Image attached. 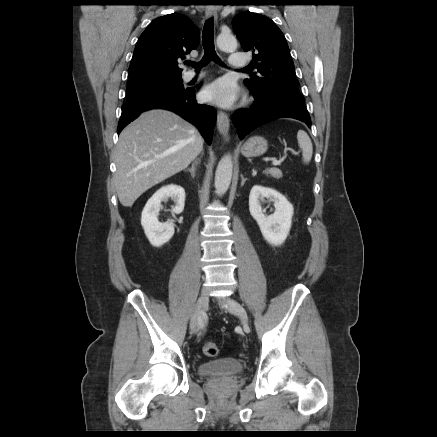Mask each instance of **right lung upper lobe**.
<instances>
[{
	"label": "right lung upper lobe",
	"mask_w": 437,
	"mask_h": 437,
	"mask_svg": "<svg viewBox=\"0 0 437 437\" xmlns=\"http://www.w3.org/2000/svg\"><path fill=\"white\" fill-rule=\"evenodd\" d=\"M199 30L182 14L172 13L153 20L135 46L128 77L182 75L178 61L196 49Z\"/></svg>",
	"instance_id": "cb5924a9"
}]
</instances>
